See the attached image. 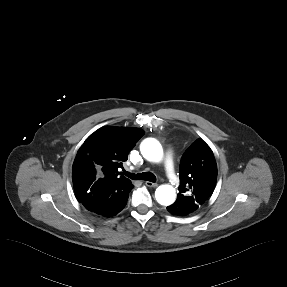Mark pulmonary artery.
<instances>
[{
    "instance_id": "obj_1",
    "label": "pulmonary artery",
    "mask_w": 287,
    "mask_h": 287,
    "mask_svg": "<svg viewBox=\"0 0 287 287\" xmlns=\"http://www.w3.org/2000/svg\"><path fill=\"white\" fill-rule=\"evenodd\" d=\"M163 167L168 178L171 180L172 184L175 185L176 187L179 186L180 181L175 174L173 154H172V150L170 149L166 152V156L163 162Z\"/></svg>"
}]
</instances>
